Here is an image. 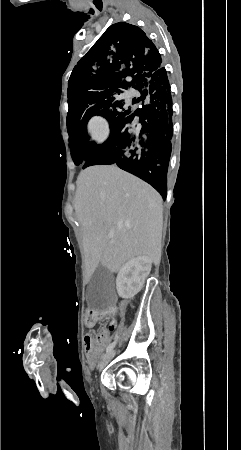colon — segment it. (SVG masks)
<instances>
[{
    "instance_id": "obj_1",
    "label": "colon",
    "mask_w": 241,
    "mask_h": 450,
    "mask_svg": "<svg viewBox=\"0 0 241 450\" xmlns=\"http://www.w3.org/2000/svg\"><path fill=\"white\" fill-rule=\"evenodd\" d=\"M111 314L112 315H117L118 314V309L117 308H112L111 309ZM99 321V312L97 309H92L87 313H84V326L87 327H94L96 323H98Z\"/></svg>"
}]
</instances>
